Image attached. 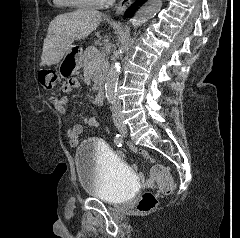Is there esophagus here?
I'll use <instances>...</instances> for the list:
<instances>
[{
    "mask_svg": "<svg viewBox=\"0 0 240 238\" xmlns=\"http://www.w3.org/2000/svg\"><path fill=\"white\" fill-rule=\"evenodd\" d=\"M133 0H120L117 7H116V10H115V13H114V16L115 17H119L121 15L124 14V12L129 8V6L132 4Z\"/></svg>",
    "mask_w": 240,
    "mask_h": 238,
    "instance_id": "34e87169",
    "label": "esophagus"
}]
</instances>
